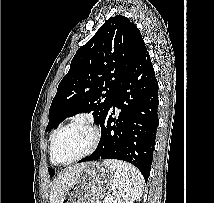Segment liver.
Returning a JSON list of instances; mask_svg holds the SVG:
<instances>
[{"mask_svg": "<svg viewBox=\"0 0 214 203\" xmlns=\"http://www.w3.org/2000/svg\"><path fill=\"white\" fill-rule=\"evenodd\" d=\"M83 164L68 167L61 172L51 185L50 203H60L66 192L74 185Z\"/></svg>", "mask_w": 214, "mask_h": 203, "instance_id": "6515ba94", "label": "liver"}]
</instances>
